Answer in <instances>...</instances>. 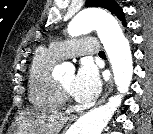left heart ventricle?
<instances>
[{
  "mask_svg": "<svg viewBox=\"0 0 153 134\" xmlns=\"http://www.w3.org/2000/svg\"><path fill=\"white\" fill-rule=\"evenodd\" d=\"M73 79H74V74L69 73V74H66L65 76H63L59 80V82L70 92Z\"/></svg>",
  "mask_w": 153,
  "mask_h": 134,
  "instance_id": "obj_1",
  "label": "left heart ventricle"
}]
</instances>
